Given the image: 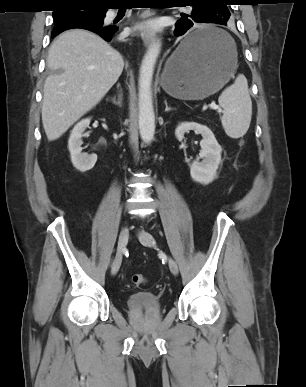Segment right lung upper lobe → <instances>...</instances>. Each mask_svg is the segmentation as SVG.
Masks as SVG:
<instances>
[{
    "instance_id": "1",
    "label": "right lung upper lobe",
    "mask_w": 306,
    "mask_h": 387,
    "mask_svg": "<svg viewBox=\"0 0 306 387\" xmlns=\"http://www.w3.org/2000/svg\"><path fill=\"white\" fill-rule=\"evenodd\" d=\"M59 1V9L66 8L72 5H81V6H90V7H100L105 9L107 6L111 5L113 0H58ZM58 10V9H57Z\"/></svg>"
}]
</instances>
